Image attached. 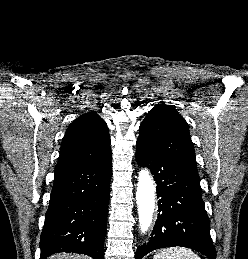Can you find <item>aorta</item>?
Listing matches in <instances>:
<instances>
[{
    "label": "aorta",
    "mask_w": 248,
    "mask_h": 259,
    "mask_svg": "<svg viewBox=\"0 0 248 259\" xmlns=\"http://www.w3.org/2000/svg\"><path fill=\"white\" fill-rule=\"evenodd\" d=\"M136 198L139 204V227L141 233L145 234L152 224L156 209V188L150 172L147 169H142L139 172Z\"/></svg>",
    "instance_id": "1"
}]
</instances>
